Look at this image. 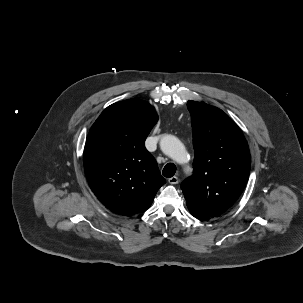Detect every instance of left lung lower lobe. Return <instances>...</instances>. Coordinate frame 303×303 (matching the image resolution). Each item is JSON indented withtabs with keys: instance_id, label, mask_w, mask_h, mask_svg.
Returning a JSON list of instances; mask_svg holds the SVG:
<instances>
[{
	"instance_id": "obj_1",
	"label": "left lung lower lobe",
	"mask_w": 303,
	"mask_h": 303,
	"mask_svg": "<svg viewBox=\"0 0 303 303\" xmlns=\"http://www.w3.org/2000/svg\"><path fill=\"white\" fill-rule=\"evenodd\" d=\"M190 213H191L194 217H196V218H198V219H200V220L207 221V220L210 219L207 215L202 214V213H196V212H192V211H190Z\"/></svg>"
}]
</instances>
